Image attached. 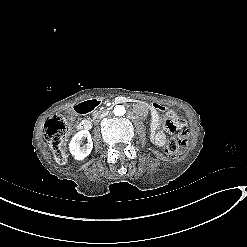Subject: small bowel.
Masks as SVG:
<instances>
[{"label": "small bowel", "instance_id": "c3829d8e", "mask_svg": "<svg viewBox=\"0 0 247 247\" xmlns=\"http://www.w3.org/2000/svg\"><path fill=\"white\" fill-rule=\"evenodd\" d=\"M166 113H169L172 116V118L176 121L177 127L181 129V131L183 129H186L185 124L180 121L178 115L175 112L169 111ZM150 116H151L152 124L156 125L157 122L159 121V112L155 111L151 106H150ZM152 140L155 145L162 147L166 143V136L162 131H156L152 134Z\"/></svg>", "mask_w": 247, "mask_h": 247}]
</instances>
